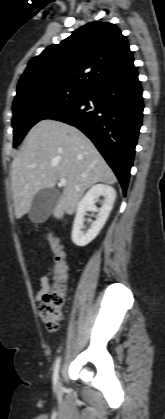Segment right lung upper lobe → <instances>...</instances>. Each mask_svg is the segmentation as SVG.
<instances>
[{"label":"right lung upper lobe","instance_id":"cb5924a9","mask_svg":"<svg viewBox=\"0 0 165 419\" xmlns=\"http://www.w3.org/2000/svg\"><path fill=\"white\" fill-rule=\"evenodd\" d=\"M132 63V52L120 29L109 22H91L30 60L14 101L50 88L88 91Z\"/></svg>","mask_w":165,"mask_h":419}]
</instances>
